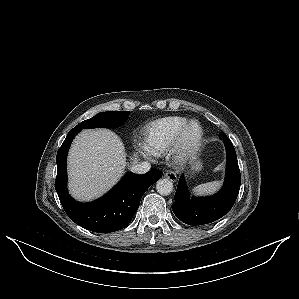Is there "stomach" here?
<instances>
[{"mask_svg":"<svg viewBox=\"0 0 299 299\" xmlns=\"http://www.w3.org/2000/svg\"><path fill=\"white\" fill-rule=\"evenodd\" d=\"M192 173L199 172L202 169V163L199 160H194L191 164Z\"/></svg>","mask_w":299,"mask_h":299,"instance_id":"stomach-1","label":"stomach"}]
</instances>
